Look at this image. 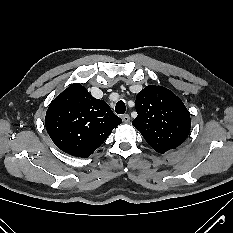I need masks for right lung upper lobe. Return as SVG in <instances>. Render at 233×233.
<instances>
[{
    "label": "right lung upper lobe",
    "mask_w": 233,
    "mask_h": 233,
    "mask_svg": "<svg viewBox=\"0 0 233 233\" xmlns=\"http://www.w3.org/2000/svg\"><path fill=\"white\" fill-rule=\"evenodd\" d=\"M122 120L81 84L65 89L49 105L45 126L55 145L76 157L90 156Z\"/></svg>",
    "instance_id": "obj_1"
}]
</instances>
